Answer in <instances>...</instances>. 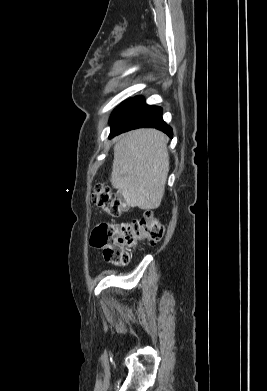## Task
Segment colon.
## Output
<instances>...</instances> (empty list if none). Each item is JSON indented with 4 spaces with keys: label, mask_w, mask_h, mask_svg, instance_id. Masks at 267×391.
<instances>
[{
    "label": "colon",
    "mask_w": 267,
    "mask_h": 391,
    "mask_svg": "<svg viewBox=\"0 0 267 391\" xmlns=\"http://www.w3.org/2000/svg\"><path fill=\"white\" fill-rule=\"evenodd\" d=\"M93 204L110 218H118L123 213L121 200L105 185H96L92 193ZM164 227L154 213L144 215L128 223H101L96 226L90 238L92 246L103 249L107 262L115 265H127L130 260L129 250L137 244L160 241Z\"/></svg>",
    "instance_id": "5ec220e1"
}]
</instances>
